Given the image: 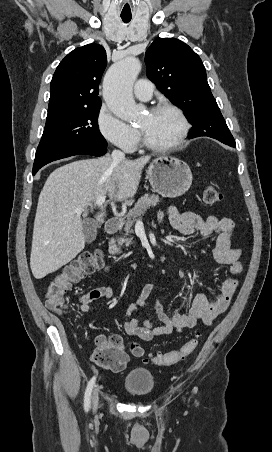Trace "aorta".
I'll list each match as a JSON object with an SVG mask.
<instances>
[{
	"instance_id": "aorta-1",
	"label": "aorta",
	"mask_w": 272,
	"mask_h": 452,
	"mask_svg": "<svg viewBox=\"0 0 272 452\" xmlns=\"http://www.w3.org/2000/svg\"><path fill=\"white\" fill-rule=\"evenodd\" d=\"M140 71L139 59L128 57L114 64L104 77L103 98L111 112L124 121L134 120L139 113L132 86Z\"/></svg>"
}]
</instances>
